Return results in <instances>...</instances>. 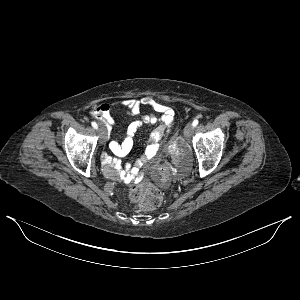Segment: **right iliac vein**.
<instances>
[{"mask_svg": "<svg viewBox=\"0 0 300 300\" xmlns=\"http://www.w3.org/2000/svg\"><path fill=\"white\" fill-rule=\"evenodd\" d=\"M98 134H99V141L101 144H103L106 141V132L102 125L98 129Z\"/></svg>", "mask_w": 300, "mask_h": 300, "instance_id": "63e3f726", "label": "right iliac vein"}]
</instances>
